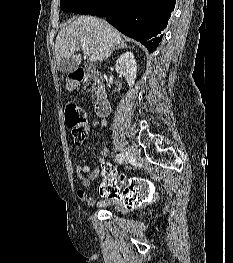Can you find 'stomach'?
I'll use <instances>...</instances> for the list:
<instances>
[{
  "instance_id": "1",
  "label": "stomach",
  "mask_w": 233,
  "mask_h": 263,
  "mask_svg": "<svg viewBox=\"0 0 233 263\" xmlns=\"http://www.w3.org/2000/svg\"><path fill=\"white\" fill-rule=\"evenodd\" d=\"M74 87H75V84L73 82H70V81L67 82L68 90H72Z\"/></svg>"
}]
</instances>
